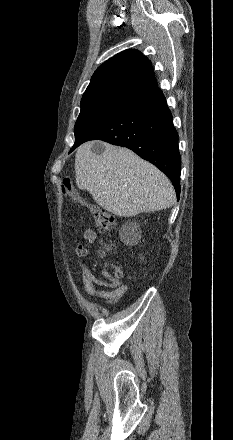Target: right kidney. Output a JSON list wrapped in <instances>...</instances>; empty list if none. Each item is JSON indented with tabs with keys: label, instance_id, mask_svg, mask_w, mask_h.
Returning a JSON list of instances; mask_svg holds the SVG:
<instances>
[{
	"label": "right kidney",
	"instance_id": "obj_1",
	"mask_svg": "<svg viewBox=\"0 0 233 440\" xmlns=\"http://www.w3.org/2000/svg\"><path fill=\"white\" fill-rule=\"evenodd\" d=\"M120 238L125 244H135L139 239V228L134 224H126L120 231Z\"/></svg>",
	"mask_w": 233,
	"mask_h": 440
}]
</instances>
